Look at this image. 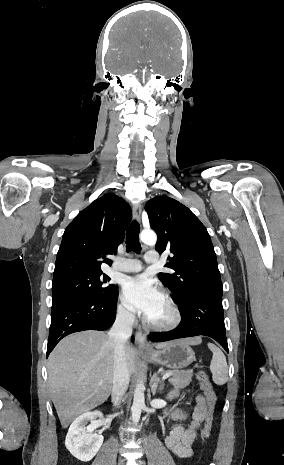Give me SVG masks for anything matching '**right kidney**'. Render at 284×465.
<instances>
[{
  "label": "right kidney",
  "instance_id": "1",
  "mask_svg": "<svg viewBox=\"0 0 284 465\" xmlns=\"http://www.w3.org/2000/svg\"><path fill=\"white\" fill-rule=\"evenodd\" d=\"M96 417L103 419V415L100 411L83 413V415L77 417L69 427L65 445L71 455L79 459V461H91L96 453H98L103 443L102 435H97V433H86V429H90L91 427V425L86 427L88 421H93Z\"/></svg>",
  "mask_w": 284,
  "mask_h": 465
}]
</instances>
